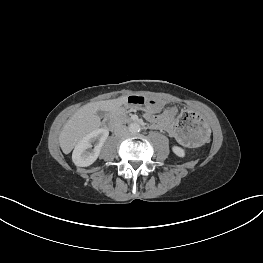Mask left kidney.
<instances>
[{
	"label": "left kidney",
	"mask_w": 263,
	"mask_h": 263,
	"mask_svg": "<svg viewBox=\"0 0 263 263\" xmlns=\"http://www.w3.org/2000/svg\"><path fill=\"white\" fill-rule=\"evenodd\" d=\"M172 151L174 152V154H176L178 157H185V150L179 146H173L172 147Z\"/></svg>",
	"instance_id": "5707ae66"
}]
</instances>
